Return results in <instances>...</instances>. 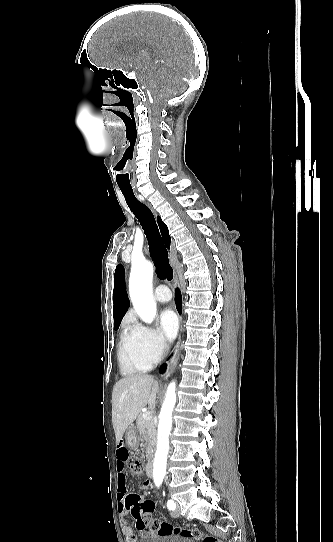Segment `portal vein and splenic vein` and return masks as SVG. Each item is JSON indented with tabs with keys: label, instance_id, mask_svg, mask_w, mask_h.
<instances>
[{
	"label": "portal vein and splenic vein",
	"instance_id": "1",
	"mask_svg": "<svg viewBox=\"0 0 333 542\" xmlns=\"http://www.w3.org/2000/svg\"><path fill=\"white\" fill-rule=\"evenodd\" d=\"M143 418H144V420H151L152 412H144Z\"/></svg>",
	"mask_w": 333,
	"mask_h": 542
}]
</instances>
